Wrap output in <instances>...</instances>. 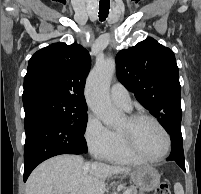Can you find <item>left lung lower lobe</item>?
Segmentation results:
<instances>
[{
  "label": "left lung lower lobe",
  "mask_w": 201,
  "mask_h": 194,
  "mask_svg": "<svg viewBox=\"0 0 201 194\" xmlns=\"http://www.w3.org/2000/svg\"><path fill=\"white\" fill-rule=\"evenodd\" d=\"M168 133L171 138L172 151L167 160L175 161L185 171L181 127L172 126Z\"/></svg>",
  "instance_id": "0a47b994"
}]
</instances>
